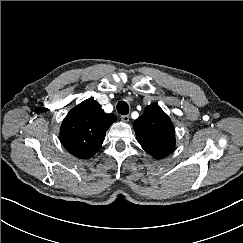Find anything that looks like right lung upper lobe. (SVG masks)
Returning <instances> with one entry per match:
<instances>
[{"instance_id": "1", "label": "right lung upper lobe", "mask_w": 243, "mask_h": 243, "mask_svg": "<svg viewBox=\"0 0 243 243\" xmlns=\"http://www.w3.org/2000/svg\"><path fill=\"white\" fill-rule=\"evenodd\" d=\"M115 120L114 114L105 113L95 100L87 99L63 120L61 143L75 157L88 159L100 149L107 129Z\"/></svg>"}]
</instances>
